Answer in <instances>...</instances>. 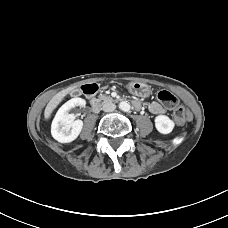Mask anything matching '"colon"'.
<instances>
[{
  "label": "colon",
  "mask_w": 228,
  "mask_h": 228,
  "mask_svg": "<svg viewBox=\"0 0 228 228\" xmlns=\"http://www.w3.org/2000/svg\"><path fill=\"white\" fill-rule=\"evenodd\" d=\"M157 98L164 104L174 108V118L177 123L184 124L190 118V114L184 106L178 104L177 98L167 90H161Z\"/></svg>",
  "instance_id": "obj_1"
}]
</instances>
